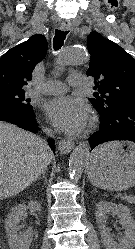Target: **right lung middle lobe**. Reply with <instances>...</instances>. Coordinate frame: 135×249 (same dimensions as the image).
<instances>
[{"label": "right lung middle lobe", "mask_w": 135, "mask_h": 249, "mask_svg": "<svg viewBox=\"0 0 135 249\" xmlns=\"http://www.w3.org/2000/svg\"><path fill=\"white\" fill-rule=\"evenodd\" d=\"M25 91H0V101L13 103L27 110L32 109L30 99H26Z\"/></svg>", "instance_id": "obj_1"}]
</instances>
